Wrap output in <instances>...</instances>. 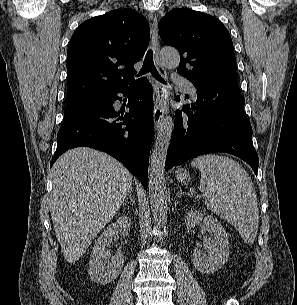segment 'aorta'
I'll return each mask as SVG.
<instances>
[{
	"label": "aorta",
	"instance_id": "1",
	"mask_svg": "<svg viewBox=\"0 0 297 305\" xmlns=\"http://www.w3.org/2000/svg\"><path fill=\"white\" fill-rule=\"evenodd\" d=\"M162 64L168 69H176L180 63L179 52L175 48H163L160 52ZM174 127V119L166 115L160 124L150 156L148 168V188L150 205L156 224L161 225L167 215V192L165 183V161Z\"/></svg>",
	"mask_w": 297,
	"mask_h": 305
}]
</instances>
